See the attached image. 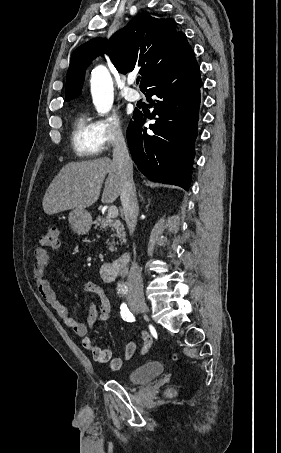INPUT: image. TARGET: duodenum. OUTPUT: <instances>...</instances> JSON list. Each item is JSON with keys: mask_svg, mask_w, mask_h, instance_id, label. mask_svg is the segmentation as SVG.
I'll use <instances>...</instances> for the list:
<instances>
[{"mask_svg": "<svg viewBox=\"0 0 281 453\" xmlns=\"http://www.w3.org/2000/svg\"><path fill=\"white\" fill-rule=\"evenodd\" d=\"M129 262V254L123 253L117 259L104 263L101 267V277L106 282L114 281L121 275Z\"/></svg>", "mask_w": 281, "mask_h": 453, "instance_id": "duodenum-1", "label": "duodenum"}]
</instances>
